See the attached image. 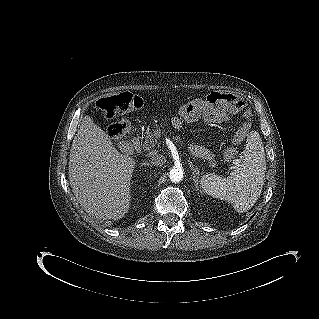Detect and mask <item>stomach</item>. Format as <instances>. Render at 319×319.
I'll use <instances>...</instances> for the list:
<instances>
[{"label":"stomach","instance_id":"stomach-1","mask_svg":"<svg viewBox=\"0 0 319 319\" xmlns=\"http://www.w3.org/2000/svg\"><path fill=\"white\" fill-rule=\"evenodd\" d=\"M179 113L186 122L194 123L202 118L203 110L199 104L189 102L180 108Z\"/></svg>","mask_w":319,"mask_h":319}]
</instances>
